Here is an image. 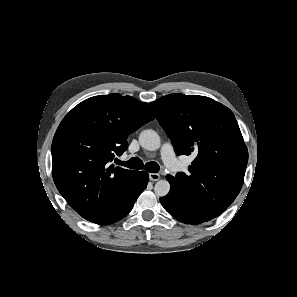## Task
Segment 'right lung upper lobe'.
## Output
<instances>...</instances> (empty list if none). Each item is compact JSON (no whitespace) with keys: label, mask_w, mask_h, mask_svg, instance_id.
Wrapping results in <instances>:
<instances>
[{"label":"right lung upper lobe","mask_w":297,"mask_h":297,"mask_svg":"<svg viewBox=\"0 0 297 297\" xmlns=\"http://www.w3.org/2000/svg\"><path fill=\"white\" fill-rule=\"evenodd\" d=\"M153 119L147 103L118 93L91 97L64 117L52 142V175L83 218H96L131 179L135 171L112 162L128 135Z\"/></svg>","instance_id":"1"}]
</instances>
